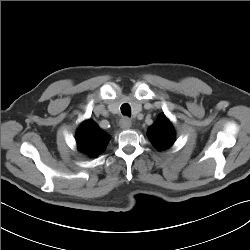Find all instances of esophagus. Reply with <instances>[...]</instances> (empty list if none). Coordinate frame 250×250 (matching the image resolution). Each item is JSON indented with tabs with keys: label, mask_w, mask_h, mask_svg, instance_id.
I'll return each instance as SVG.
<instances>
[{
	"label": "esophagus",
	"mask_w": 250,
	"mask_h": 250,
	"mask_svg": "<svg viewBox=\"0 0 250 250\" xmlns=\"http://www.w3.org/2000/svg\"><path fill=\"white\" fill-rule=\"evenodd\" d=\"M132 125V121L130 118L128 117H123L121 120H120V127L122 129H129Z\"/></svg>",
	"instance_id": "34e87169"
}]
</instances>
